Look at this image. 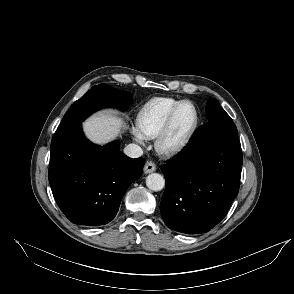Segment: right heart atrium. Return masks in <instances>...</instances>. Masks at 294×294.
Listing matches in <instances>:
<instances>
[{
    "label": "right heart atrium",
    "mask_w": 294,
    "mask_h": 294,
    "mask_svg": "<svg viewBox=\"0 0 294 294\" xmlns=\"http://www.w3.org/2000/svg\"><path fill=\"white\" fill-rule=\"evenodd\" d=\"M133 135L135 137L136 140L142 142L143 141V137L141 136V134L139 133L138 130L134 129L133 130Z\"/></svg>",
    "instance_id": "right-heart-atrium-1"
}]
</instances>
